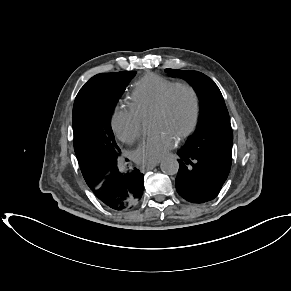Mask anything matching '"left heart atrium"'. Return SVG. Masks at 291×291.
I'll use <instances>...</instances> for the list:
<instances>
[{"label": "left heart atrium", "mask_w": 291, "mask_h": 291, "mask_svg": "<svg viewBox=\"0 0 291 291\" xmlns=\"http://www.w3.org/2000/svg\"><path fill=\"white\" fill-rule=\"evenodd\" d=\"M175 137L169 132L145 138L134 152V159L138 163H155L163 159L175 146Z\"/></svg>", "instance_id": "left-heart-atrium-1"}]
</instances>
